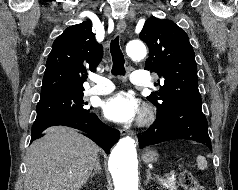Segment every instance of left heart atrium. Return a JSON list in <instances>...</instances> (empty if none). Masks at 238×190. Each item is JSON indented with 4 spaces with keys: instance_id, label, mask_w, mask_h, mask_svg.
<instances>
[{
    "instance_id": "39dd6f15",
    "label": "left heart atrium",
    "mask_w": 238,
    "mask_h": 190,
    "mask_svg": "<svg viewBox=\"0 0 238 190\" xmlns=\"http://www.w3.org/2000/svg\"><path fill=\"white\" fill-rule=\"evenodd\" d=\"M138 101L129 93L119 92L103 103L106 118L118 123L133 121L139 114Z\"/></svg>"
}]
</instances>
